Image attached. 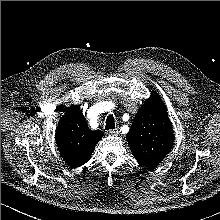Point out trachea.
I'll return each mask as SVG.
<instances>
[{
	"label": "trachea",
	"mask_w": 220,
	"mask_h": 220,
	"mask_svg": "<svg viewBox=\"0 0 220 220\" xmlns=\"http://www.w3.org/2000/svg\"><path fill=\"white\" fill-rule=\"evenodd\" d=\"M106 130H112L115 129V123H114V117L113 115H109L106 119Z\"/></svg>",
	"instance_id": "obj_1"
}]
</instances>
